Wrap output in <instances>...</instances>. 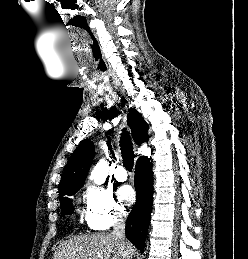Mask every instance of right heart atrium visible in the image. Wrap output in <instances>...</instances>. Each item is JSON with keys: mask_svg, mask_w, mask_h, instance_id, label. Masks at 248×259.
Listing matches in <instances>:
<instances>
[{"mask_svg": "<svg viewBox=\"0 0 248 259\" xmlns=\"http://www.w3.org/2000/svg\"><path fill=\"white\" fill-rule=\"evenodd\" d=\"M86 221L94 230H105L126 217V211L112 191L89 186L85 192Z\"/></svg>", "mask_w": 248, "mask_h": 259, "instance_id": "right-heart-atrium-1", "label": "right heart atrium"}]
</instances>
